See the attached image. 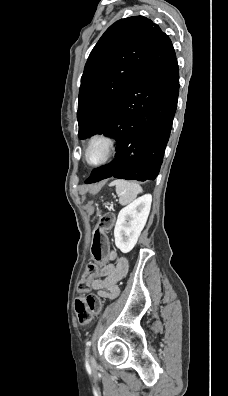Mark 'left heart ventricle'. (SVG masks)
Listing matches in <instances>:
<instances>
[{
    "label": "left heart ventricle",
    "instance_id": "left-heart-ventricle-1",
    "mask_svg": "<svg viewBox=\"0 0 228 396\" xmlns=\"http://www.w3.org/2000/svg\"><path fill=\"white\" fill-rule=\"evenodd\" d=\"M105 153V147L102 143H95L89 152V158L92 161L100 160Z\"/></svg>",
    "mask_w": 228,
    "mask_h": 396
}]
</instances>
